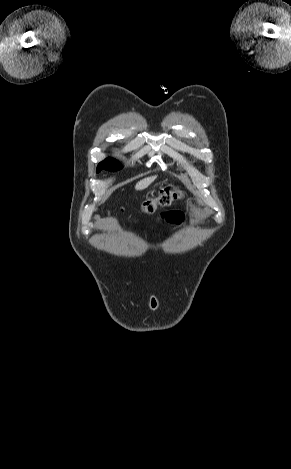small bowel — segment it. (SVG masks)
Wrapping results in <instances>:
<instances>
[{"label":"small bowel","mask_w":291,"mask_h":469,"mask_svg":"<svg viewBox=\"0 0 291 469\" xmlns=\"http://www.w3.org/2000/svg\"><path fill=\"white\" fill-rule=\"evenodd\" d=\"M165 220L171 224L179 225L184 222V216L182 213L177 212V211H172L167 213L164 216Z\"/></svg>","instance_id":"1"}]
</instances>
